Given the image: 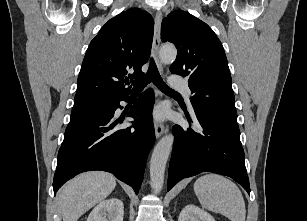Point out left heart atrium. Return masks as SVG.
I'll return each mask as SVG.
<instances>
[{
	"instance_id": "left-heart-atrium-1",
	"label": "left heart atrium",
	"mask_w": 307,
	"mask_h": 221,
	"mask_svg": "<svg viewBox=\"0 0 307 221\" xmlns=\"http://www.w3.org/2000/svg\"><path fill=\"white\" fill-rule=\"evenodd\" d=\"M164 116V112H163V110H157L156 112H155V117L157 118V119H161L162 117Z\"/></svg>"
}]
</instances>
